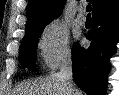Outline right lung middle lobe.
I'll return each mask as SVG.
<instances>
[{"label": "right lung middle lobe", "instance_id": "1", "mask_svg": "<svg viewBox=\"0 0 119 95\" xmlns=\"http://www.w3.org/2000/svg\"><path fill=\"white\" fill-rule=\"evenodd\" d=\"M46 25H42L25 33L19 51L22 68H29L31 70L34 68L38 38Z\"/></svg>", "mask_w": 119, "mask_h": 95}]
</instances>
